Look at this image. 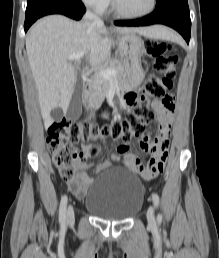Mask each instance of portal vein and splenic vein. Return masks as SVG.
Masks as SVG:
<instances>
[{
	"instance_id": "1",
	"label": "portal vein and splenic vein",
	"mask_w": 219,
	"mask_h": 258,
	"mask_svg": "<svg viewBox=\"0 0 219 258\" xmlns=\"http://www.w3.org/2000/svg\"><path fill=\"white\" fill-rule=\"evenodd\" d=\"M84 53H79L77 55L69 56V60H80ZM99 76L109 79L116 76V71L111 69L101 70L98 74Z\"/></svg>"
}]
</instances>
